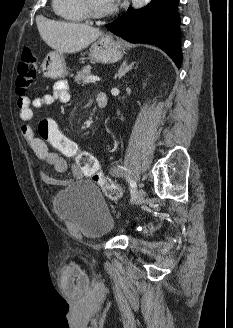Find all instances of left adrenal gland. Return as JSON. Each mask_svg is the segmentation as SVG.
<instances>
[{
  "label": "left adrenal gland",
  "instance_id": "left-adrenal-gland-1",
  "mask_svg": "<svg viewBox=\"0 0 233 328\" xmlns=\"http://www.w3.org/2000/svg\"><path fill=\"white\" fill-rule=\"evenodd\" d=\"M134 64L135 62H132L130 65H128L127 61H124L120 66L116 77H118V79H121L123 76H125L127 72H129L133 68Z\"/></svg>",
  "mask_w": 233,
  "mask_h": 328
}]
</instances>
